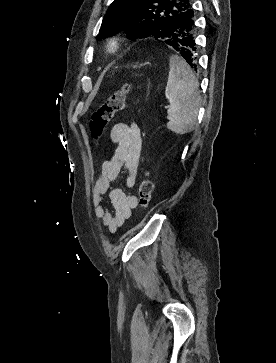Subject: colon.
I'll use <instances>...</instances> for the list:
<instances>
[{
  "label": "colon",
  "instance_id": "colon-1",
  "mask_svg": "<svg viewBox=\"0 0 276 363\" xmlns=\"http://www.w3.org/2000/svg\"><path fill=\"white\" fill-rule=\"evenodd\" d=\"M129 90V85H124L122 88L115 90L92 114L89 126L93 137H100L106 126L113 120L114 115L125 108ZM152 192L153 183L148 175H145L138 187V203L141 207L149 206Z\"/></svg>",
  "mask_w": 276,
  "mask_h": 363
}]
</instances>
